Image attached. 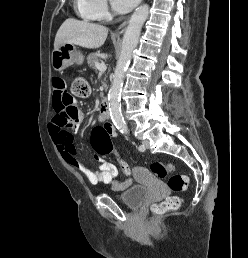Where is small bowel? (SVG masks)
<instances>
[{"mask_svg": "<svg viewBox=\"0 0 248 258\" xmlns=\"http://www.w3.org/2000/svg\"><path fill=\"white\" fill-rule=\"evenodd\" d=\"M52 90V106L55 115L49 123V129L63 159L68 164L77 167L92 185H109L115 191L127 189L132 184V180L127 178L123 181H117L116 177L118 171L116 166L104 158L96 157L99 163L96 170L85 166L78 160L71 130L76 131L79 128L82 114L77 111L71 120L70 126H63L57 115L68 112V110L73 107L74 101L65 88L62 78H53ZM104 128L109 134L115 135V129L110 123H104Z\"/></svg>", "mask_w": 248, "mask_h": 258, "instance_id": "obj_1", "label": "small bowel"}]
</instances>
